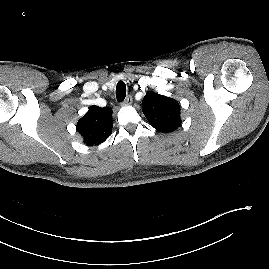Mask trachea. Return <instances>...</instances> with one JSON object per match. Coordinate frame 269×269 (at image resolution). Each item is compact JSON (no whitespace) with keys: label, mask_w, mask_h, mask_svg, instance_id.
<instances>
[{"label":"trachea","mask_w":269,"mask_h":269,"mask_svg":"<svg viewBox=\"0 0 269 269\" xmlns=\"http://www.w3.org/2000/svg\"><path fill=\"white\" fill-rule=\"evenodd\" d=\"M116 97L119 102L124 101L126 97V85L123 81H119L116 86Z\"/></svg>","instance_id":"1"}]
</instances>
